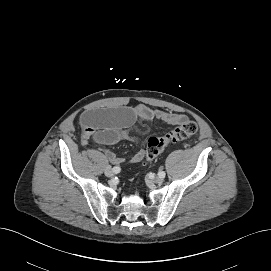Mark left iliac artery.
Returning <instances> with one entry per match:
<instances>
[{"mask_svg": "<svg viewBox=\"0 0 271 271\" xmlns=\"http://www.w3.org/2000/svg\"><path fill=\"white\" fill-rule=\"evenodd\" d=\"M165 172L164 171H160L159 173H158V176H160V177H162V178H164L165 177Z\"/></svg>", "mask_w": 271, "mask_h": 271, "instance_id": "left-iliac-artery-1", "label": "left iliac artery"}]
</instances>
